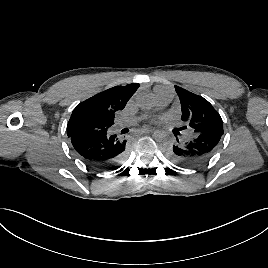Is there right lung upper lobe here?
<instances>
[{
	"instance_id": "cb5924a9",
	"label": "right lung upper lobe",
	"mask_w": 268,
	"mask_h": 268,
	"mask_svg": "<svg viewBox=\"0 0 268 268\" xmlns=\"http://www.w3.org/2000/svg\"><path fill=\"white\" fill-rule=\"evenodd\" d=\"M139 84H128L107 89L81 102L73 110L69 123L80 117H88L114 124L115 113L123 110Z\"/></svg>"
}]
</instances>
